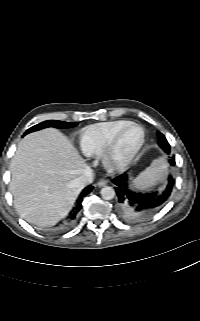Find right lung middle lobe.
<instances>
[{
  "label": "right lung middle lobe",
  "mask_w": 200,
  "mask_h": 321,
  "mask_svg": "<svg viewBox=\"0 0 200 321\" xmlns=\"http://www.w3.org/2000/svg\"><path fill=\"white\" fill-rule=\"evenodd\" d=\"M77 123L73 122H64V121H58V120H47L42 123H39L31 128H29L24 135L33 132L38 131L46 127H55V128H72L75 127Z\"/></svg>",
  "instance_id": "right-lung-middle-lobe-1"
}]
</instances>
